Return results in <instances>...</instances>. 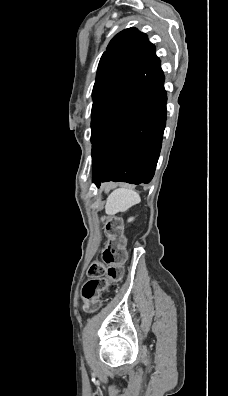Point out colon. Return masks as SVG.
<instances>
[{
    "mask_svg": "<svg viewBox=\"0 0 228 396\" xmlns=\"http://www.w3.org/2000/svg\"><path fill=\"white\" fill-rule=\"evenodd\" d=\"M108 242L102 251V261L93 262L89 269V279L82 288L84 308L94 312L101 306V294L109 282L118 281L122 274L127 254L123 246L122 222L118 217L104 218Z\"/></svg>",
    "mask_w": 228,
    "mask_h": 396,
    "instance_id": "obj_1",
    "label": "colon"
}]
</instances>
